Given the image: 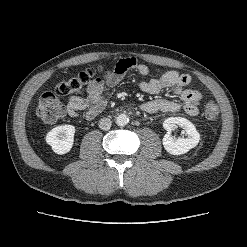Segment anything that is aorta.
<instances>
[{
	"mask_svg": "<svg viewBox=\"0 0 247 247\" xmlns=\"http://www.w3.org/2000/svg\"><path fill=\"white\" fill-rule=\"evenodd\" d=\"M115 122L118 126H125L129 122V118L126 114L122 113L116 116Z\"/></svg>",
	"mask_w": 247,
	"mask_h": 247,
	"instance_id": "1",
	"label": "aorta"
}]
</instances>
